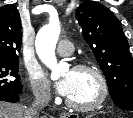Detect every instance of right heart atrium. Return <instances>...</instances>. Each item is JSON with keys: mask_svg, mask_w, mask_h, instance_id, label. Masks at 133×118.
Segmentation results:
<instances>
[{"mask_svg": "<svg viewBox=\"0 0 133 118\" xmlns=\"http://www.w3.org/2000/svg\"><path fill=\"white\" fill-rule=\"evenodd\" d=\"M30 86L35 97L39 99L50 97V84L43 72L33 71L30 73Z\"/></svg>", "mask_w": 133, "mask_h": 118, "instance_id": "d8ad5b80", "label": "right heart atrium"}]
</instances>
